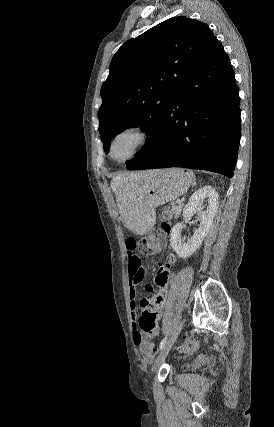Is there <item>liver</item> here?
Listing matches in <instances>:
<instances>
[{
  "label": "liver",
  "mask_w": 274,
  "mask_h": 427,
  "mask_svg": "<svg viewBox=\"0 0 274 427\" xmlns=\"http://www.w3.org/2000/svg\"><path fill=\"white\" fill-rule=\"evenodd\" d=\"M143 174H147V172H136V174H117L112 178V182L110 184L111 190H113L114 194H116L118 206L120 208L121 202H124V196L126 190H132L133 186H130V182H133V178H141Z\"/></svg>",
  "instance_id": "1"
}]
</instances>
